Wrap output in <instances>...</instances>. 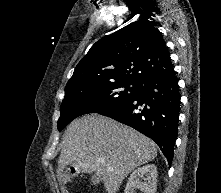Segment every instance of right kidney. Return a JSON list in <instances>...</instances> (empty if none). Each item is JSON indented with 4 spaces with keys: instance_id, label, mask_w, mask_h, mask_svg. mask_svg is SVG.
I'll list each match as a JSON object with an SVG mask.
<instances>
[{
    "instance_id": "ca27d5eb",
    "label": "right kidney",
    "mask_w": 221,
    "mask_h": 193,
    "mask_svg": "<svg viewBox=\"0 0 221 193\" xmlns=\"http://www.w3.org/2000/svg\"><path fill=\"white\" fill-rule=\"evenodd\" d=\"M136 189H140L143 193H156L157 168L154 164L145 165L132 172L124 192L135 193Z\"/></svg>"
}]
</instances>
